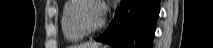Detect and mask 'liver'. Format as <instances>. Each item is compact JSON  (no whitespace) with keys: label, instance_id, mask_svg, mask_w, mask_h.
<instances>
[{"label":"liver","instance_id":"obj_1","mask_svg":"<svg viewBox=\"0 0 213 48\" xmlns=\"http://www.w3.org/2000/svg\"><path fill=\"white\" fill-rule=\"evenodd\" d=\"M98 44L97 43H92V42H88V43H83L80 45H74L71 48H98Z\"/></svg>","mask_w":213,"mask_h":48}]
</instances>
